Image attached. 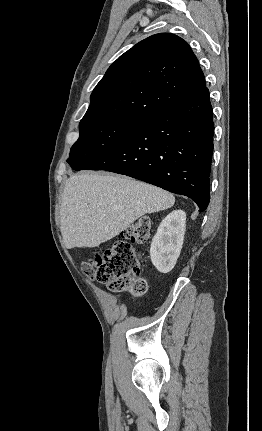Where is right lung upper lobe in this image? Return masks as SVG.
Wrapping results in <instances>:
<instances>
[{"mask_svg":"<svg viewBox=\"0 0 262 431\" xmlns=\"http://www.w3.org/2000/svg\"><path fill=\"white\" fill-rule=\"evenodd\" d=\"M204 89V74L189 45L173 34L152 35L109 67L80 124L141 121Z\"/></svg>","mask_w":262,"mask_h":431,"instance_id":"obj_1","label":"right lung upper lobe"}]
</instances>
